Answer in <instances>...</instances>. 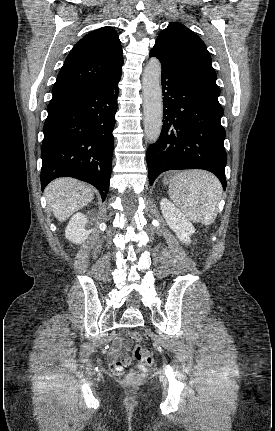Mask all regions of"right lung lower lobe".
I'll return each instance as SVG.
<instances>
[{
    "label": "right lung lower lobe",
    "mask_w": 275,
    "mask_h": 431,
    "mask_svg": "<svg viewBox=\"0 0 275 431\" xmlns=\"http://www.w3.org/2000/svg\"><path fill=\"white\" fill-rule=\"evenodd\" d=\"M53 95L41 147L42 189L69 176L95 186L106 198L112 170L118 83Z\"/></svg>",
    "instance_id": "98d812e1"
}]
</instances>
